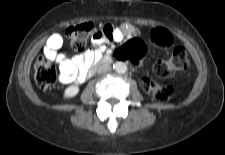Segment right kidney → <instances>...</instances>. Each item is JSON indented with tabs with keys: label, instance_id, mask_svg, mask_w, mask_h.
<instances>
[{
	"label": "right kidney",
	"instance_id": "ca27d5eb",
	"mask_svg": "<svg viewBox=\"0 0 225 155\" xmlns=\"http://www.w3.org/2000/svg\"><path fill=\"white\" fill-rule=\"evenodd\" d=\"M79 92V88L76 85H72L68 88L65 89L64 92V97L65 98H71L77 95V93Z\"/></svg>",
	"mask_w": 225,
	"mask_h": 155
}]
</instances>
